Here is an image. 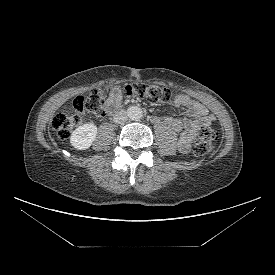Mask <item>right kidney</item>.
Listing matches in <instances>:
<instances>
[{
	"instance_id": "obj_1",
	"label": "right kidney",
	"mask_w": 275,
	"mask_h": 275,
	"mask_svg": "<svg viewBox=\"0 0 275 275\" xmlns=\"http://www.w3.org/2000/svg\"><path fill=\"white\" fill-rule=\"evenodd\" d=\"M97 135V127L93 123L79 126L70 137L71 145L78 150L88 149Z\"/></svg>"
}]
</instances>
